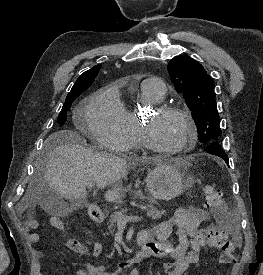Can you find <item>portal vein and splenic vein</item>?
Masks as SVG:
<instances>
[{
  "label": "portal vein and splenic vein",
  "mask_w": 263,
  "mask_h": 275,
  "mask_svg": "<svg viewBox=\"0 0 263 275\" xmlns=\"http://www.w3.org/2000/svg\"><path fill=\"white\" fill-rule=\"evenodd\" d=\"M88 188L89 189H92L93 188V184L92 183H89L88 184ZM138 220H141V218L140 217H138V216H126V215H122V214H120L119 215V217H118V219H117V222L119 223V224H126L127 222H129V221H138Z\"/></svg>",
  "instance_id": "obj_1"
}]
</instances>
